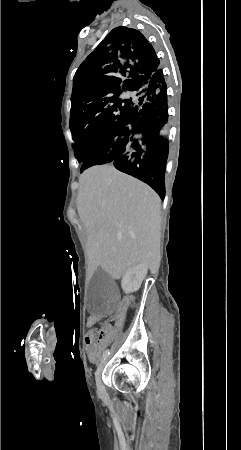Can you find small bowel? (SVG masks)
I'll return each instance as SVG.
<instances>
[{"mask_svg":"<svg viewBox=\"0 0 241 450\" xmlns=\"http://www.w3.org/2000/svg\"><path fill=\"white\" fill-rule=\"evenodd\" d=\"M124 316H125V313L122 310H117L115 312V317L117 319H122ZM114 326L116 328H119L121 326V323L119 321H116L114 323ZM97 333H98L97 334V339L99 341H104L106 339L107 335H109L111 333V330L109 328H107V327L106 328L105 327H100V328H98ZM94 339H95V335H94L93 332H90L87 335L86 339H85L86 345L88 347L89 358L93 362H95L99 358V356L101 354V351H102L100 346L94 347L92 345Z\"/></svg>","mask_w":241,"mask_h":450,"instance_id":"1","label":"small bowel"}]
</instances>
